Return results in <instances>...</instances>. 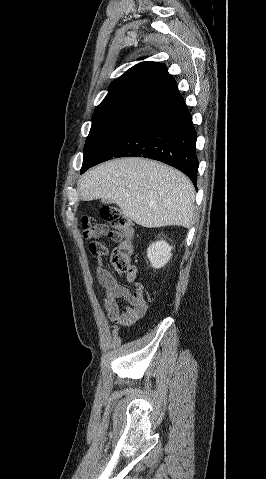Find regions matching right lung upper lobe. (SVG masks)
<instances>
[{
  "label": "right lung upper lobe",
  "mask_w": 266,
  "mask_h": 479,
  "mask_svg": "<svg viewBox=\"0 0 266 479\" xmlns=\"http://www.w3.org/2000/svg\"><path fill=\"white\" fill-rule=\"evenodd\" d=\"M176 88L177 83L164 64L141 62L110 84L107 96L93 115L122 110L139 112Z\"/></svg>",
  "instance_id": "1"
}]
</instances>
